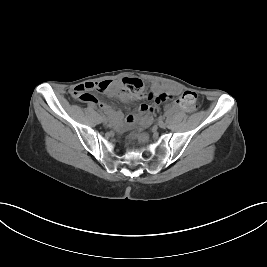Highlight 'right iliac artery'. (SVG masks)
<instances>
[{
  "label": "right iliac artery",
  "mask_w": 267,
  "mask_h": 267,
  "mask_svg": "<svg viewBox=\"0 0 267 267\" xmlns=\"http://www.w3.org/2000/svg\"><path fill=\"white\" fill-rule=\"evenodd\" d=\"M98 114L101 116V117H105L104 113L102 111H98Z\"/></svg>",
  "instance_id": "right-iliac-artery-1"
}]
</instances>
